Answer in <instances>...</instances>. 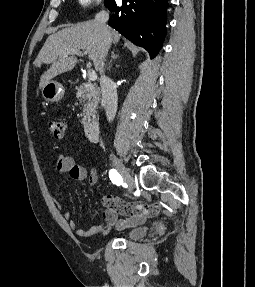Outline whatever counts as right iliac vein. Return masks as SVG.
Returning <instances> with one entry per match:
<instances>
[{
	"label": "right iliac vein",
	"instance_id": "63e3f726",
	"mask_svg": "<svg viewBox=\"0 0 255 287\" xmlns=\"http://www.w3.org/2000/svg\"><path fill=\"white\" fill-rule=\"evenodd\" d=\"M111 159H112V162L114 163L115 167L117 168V170L121 174L124 182L128 186L129 191L133 190L135 184H134V181H133L131 175L129 174V172L125 168V166L122 164V162H120V160L116 156L112 155Z\"/></svg>",
	"mask_w": 255,
	"mask_h": 287
}]
</instances>
